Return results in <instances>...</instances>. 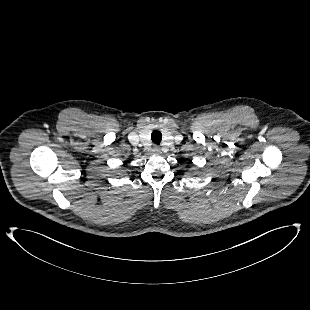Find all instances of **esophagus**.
I'll use <instances>...</instances> for the list:
<instances>
[{
    "mask_svg": "<svg viewBox=\"0 0 310 310\" xmlns=\"http://www.w3.org/2000/svg\"><path fill=\"white\" fill-rule=\"evenodd\" d=\"M152 151H153L154 154H159L160 153V148L158 146H154Z\"/></svg>",
    "mask_w": 310,
    "mask_h": 310,
    "instance_id": "34e87169",
    "label": "esophagus"
}]
</instances>
